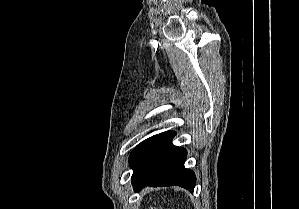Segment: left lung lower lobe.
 I'll use <instances>...</instances> for the list:
<instances>
[{"label":"left lung lower lobe","mask_w":299,"mask_h":209,"mask_svg":"<svg viewBox=\"0 0 299 209\" xmlns=\"http://www.w3.org/2000/svg\"><path fill=\"white\" fill-rule=\"evenodd\" d=\"M175 132L168 131L146 139L132 151L129 163L133 169L135 191L145 186L178 185L193 192L196 177L184 167L186 150L171 143Z\"/></svg>","instance_id":"obj_1"}]
</instances>
